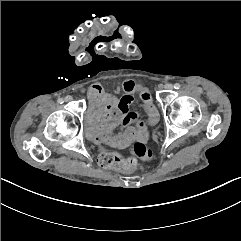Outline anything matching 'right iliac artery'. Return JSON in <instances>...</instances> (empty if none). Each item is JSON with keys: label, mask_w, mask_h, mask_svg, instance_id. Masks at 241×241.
Wrapping results in <instances>:
<instances>
[{"label": "right iliac artery", "mask_w": 241, "mask_h": 241, "mask_svg": "<svg viewBox=\"0 0 241 241\" xmlns=\"http://www.w3.org/2000/svg\"><path fill=\"white\" fill-rule=\"evenodd\" d=\"M57 102H58L59 104H62L64 101H63L62 98H59V99L57 100Z\"/></svg>", "instance_id": "1"}]
</instances>
